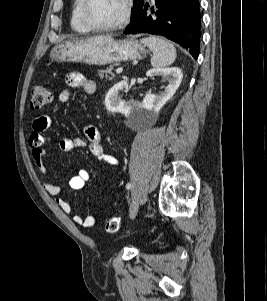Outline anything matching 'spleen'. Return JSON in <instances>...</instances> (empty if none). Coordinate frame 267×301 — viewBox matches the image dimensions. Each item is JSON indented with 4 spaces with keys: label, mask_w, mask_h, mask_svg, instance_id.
I'll use <instances>...</instances> for the list:
<instances>
[{
    "label": "spleen",
    "mask_w": 267,
    "mask_h": 301,
    "mask_svg": "<svg viewBox=\"0 0 267 301\" xmlns=\"http://www.w3.org/2000/svg\"><path fill=\"white\" fill-rule=\"evenodd\" d=\"M141 42L146 45L153 53L151 65L155 68H163L174 63L176 59V49L169 41L157 38H143Z\"/></svg>",
    "instance_id": "spleen-1"
}]
</instances>
